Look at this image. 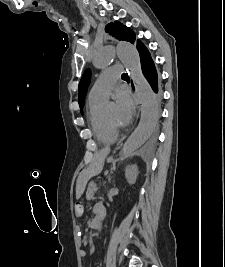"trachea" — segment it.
<instances>
[{
    "label": "trachea",
    "mask_w": 225,
    "mask_h": 267,
    "mask_svg": "<svg viewBox=\"0 0 225 267\" xmlns=\"http://www.w3.org/2000/svg\"><path fill=\"white\" fill-rule=\"evenodd\" d=\"M122 77H128V74L127 73H123Z\"/></svg>",
    "instance_id": "obj_1"
}]
</instances>
